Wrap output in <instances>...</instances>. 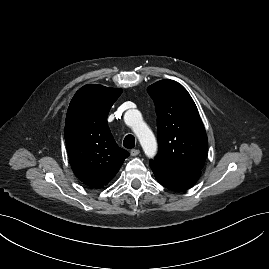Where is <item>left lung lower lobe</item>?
Returning a JSON list of instances; mask_svg holds the SVG:
<instances>
[{
  "mask_svg": "<svg viewBox=\"0 0 269 269\" xmlns=\"http://www.w3.org/2000/svg\"><path fill=\"white\" fill-rule=\"evenodd\" d=\"M156 180L173 191H184L192 187L201 175V170L164 164L150 160Z\"/></svg>",
  "mask_w": 269,
  "mask_h": 269,
  "instance_id": "1",
  "label": "left lung lower lobe"
}]
</instances>
